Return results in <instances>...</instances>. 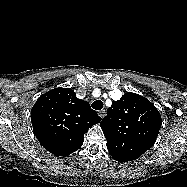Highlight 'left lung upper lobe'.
<instances>
[{"mask_svg":"<svg viewBox=\"0 0 187 187\" xmlns=\"http://www.w3.org/2000/svg\"><path fill=\"white\" fill-rule=\"evenodd\" d=\"M161 123L154 104L139 94L127 92L120 100L112 101L100 126L109 153L128 162L153 146Z\"/></svg>","mask_w":187,"mask_h":187,"instance_id":"left-lung-upper-lobe-1","label":"left lung upper lobe"}]
</instances>
